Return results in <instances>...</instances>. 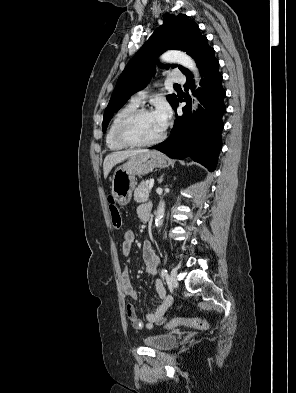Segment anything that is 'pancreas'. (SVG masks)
I'll use <instances>...</instances> for the list:
<instances>
[{"instance_id":"pancreas-1","label":"pancreas","mask_w":296,"mask_h":393,"mask_svg":"<svg viewBox=\"0 0 296 393\" xmlns=\"http://www.w3.org/2000/svg\"><path fill=\"white\" fill-rule=\"evenodd\" d=\"M149 181H142L135 189L134 201L137 203H144L148 200L149 196Z\"/></svg>"}]
</instances>
